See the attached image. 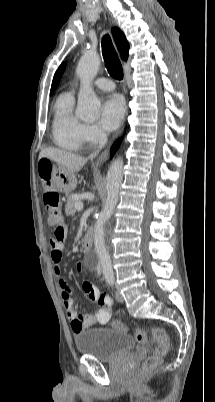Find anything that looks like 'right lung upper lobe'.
Returning a JSON list of instances; mask_svg holds the SVG:
<instances>
[{
    "mask_svg": "<svg viewBox=\"0 0 215 402\" xmlns=\"http://www.w3.org/2000/svg\"><path fill=\"white\" fill-rule=\"evenodd\" d=\"M112 33H113V36H114V39H115L119 52L121 53L124 60H127L129 44H128L124 34L118 28H113ZM64 70H65V63H62L60 65V67L57 69V71L55 72L50 94H52L55 91L57 85L59 84L61 75L64 72Z\"/></svg>",
    "mask_w": 215,
    "mask_h": 402,
    "instance_id": "cb5924a9",
    "label": "right lung upper lobe"
}]
</instances>
